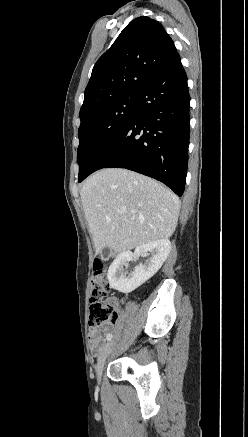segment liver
<instances>
[{"label":"liver","instance_id":"liver-1","mask_svg":"<svg viewBox=\"0 0 248 437\" xmlns=\"http://www.w3.org/2000/svg\"><path fill=\"white\" fill-rule=\"evenodd\" d=\"M80 196L96 254L105 247L116 253L131 250L175 231L179 198L147 176L102 169L85 181Z\"/></svg>","mask_w":248,"mask_h":437}]
</instances>
